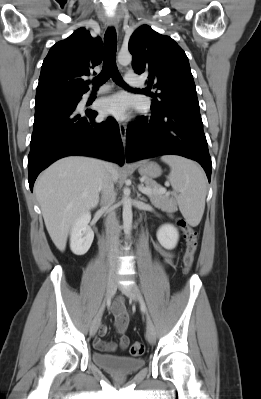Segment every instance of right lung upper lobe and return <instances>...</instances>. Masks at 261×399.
<instances>
[{
  "instance_id": "1",
  "label": "right lung upper lobe",
  "mask_w": 261,
  "mask_h": 399,
  "mask_svg": "<svg viewBox=\"0 0 261 399\" xmlns=\"http://www.w3.org/2000/svg\"><path fill=\"white\" fill-rule=\"evenodd\" d=\"M103 46L99 37L80 28L65 40L54 44L41 67L36 102L83 95L89 90L82 76L102 61Z\"/></svg>"
}]
</instances>
